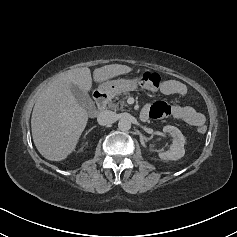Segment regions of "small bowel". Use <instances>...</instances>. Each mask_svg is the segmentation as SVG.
Returning <instances> with one entry per match:
<instances>
[{
	"label": "small bowel",
	"mask_w": 237,
	"mask_h": 237,
	"mask_svg": "<svg viewBox=\"0 0 237 237\" xmlns=\"http://www.w3.org/2000/svg\"><path fill=\"white\" fill-rule=\"evenodd\" d=\"M160 91L165 95H185L187 93V87L181 81L167 79L162 83ZM165 116H172L175 119L181 120L197 128L203 126L205 123L204 115L194 107L189 105H170L165 101L148 104L141 113V118L143 120L150 117L163 118Z\"/></svg>",
	"instance_id": "1"
}]
</instances>
